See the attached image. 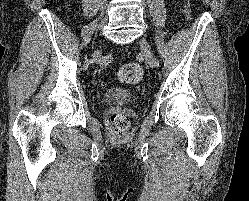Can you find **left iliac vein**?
Returning a JSON list of instances; mask_svg holds the SVG:
<instances>
[{
    "label": "left iliac vein",
    "instance_id": "4c4485c4",
    "mask_svg": "<svg viewBox=\"0 0 249 201\" xmlns=\"http://www.w3.org/2000/svg\"><path fill=\"white\" fill-rule=\"evenodd\" d=\"M141 52L150 67H155V57L152 53L151 47L145 39H141L140 41Z\"/></svg>",
    "mask_w": 249,
    "mask_h": 201
}]
</instances>
